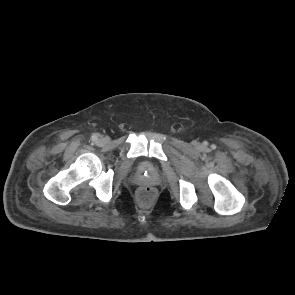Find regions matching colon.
Wrapping results in <instances>:
<instances>
[{
	"label": "colon",
	"mask_w": 295,
	"mask_h": 295,
	"mask_svg": "<svg viewBox=\"0 0 295 295\" xmlns=\"http://www.w3.org/2000/svg\"><path fill=\"white\" fill-rule=\"evenodd\" d=\"M155 196V189L151 186H143L138 190V198L142 203H149Z\"/></svg>",
	"instance_id": "5ec220e1"
}]
</instances>
